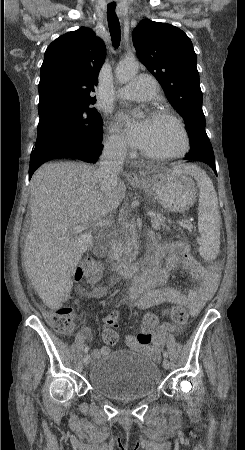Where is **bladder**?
<instances>
[{
    "mask_svg": "<svg viewBox=\"0 0 245 450\" xmlns=\"http://www.w3.org/2000/svg\"><path fill=\"white\" fill-rule=\"evenodd\" d=\"M161 377L160 367L147 355L124 349L95 360L88 383L106 398L130 401L158 390Z\"/></svg>",
    "mask_w": 245,
    "mask_h": 450,
    "instance_id": "obj_1",
    "label": "bladder"
}]
</instances>
